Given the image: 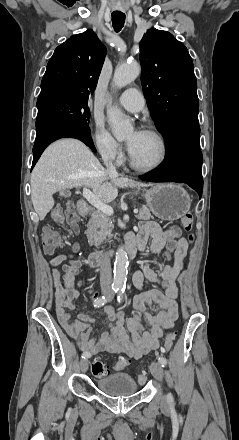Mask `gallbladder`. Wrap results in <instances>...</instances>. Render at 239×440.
Masks as SVG:
<instances>
[{
	"instance_id": "1",
	"label": "gallbladder",
	"mask_w": 239,
	"mask_h": 440,
	"mask_svg": "<svg viewBox=\"0 0 239 440\" xmlns=\"http://www.w3.org/2000/svg\"><path fill=\"white\" fill-rule=\"evenodd\" d=\"M72 192L69 190V189H64V190H62V192H60V196H65V198H69L71 195Z\"/></svg>"
}]
</instances>
